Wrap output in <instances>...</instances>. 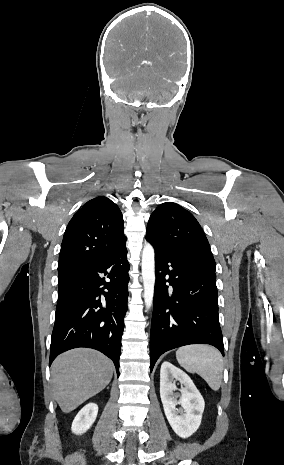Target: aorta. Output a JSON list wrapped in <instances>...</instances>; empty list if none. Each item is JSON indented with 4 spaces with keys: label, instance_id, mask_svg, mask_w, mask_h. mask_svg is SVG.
I'll use <instances>...</instances> for the list:
<instances>
[{
    "label": "aorta",
    "instance_id": "obj_1",
    "mask_svg": "<svg viewBox=\"0 0 284 465\" xmlns=\"http://www.w3.org/2000/svg\"><path fill=\"white\" fill-rule=\"evenodd\" d=\"M142 278L144 286V302L146 311L153 303L154 286H155V253L150 244H146L142 251Z\"/></svg>",
    "mask_w": 284,
    "mask_h": 465
}]
</instances>
